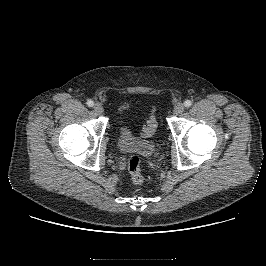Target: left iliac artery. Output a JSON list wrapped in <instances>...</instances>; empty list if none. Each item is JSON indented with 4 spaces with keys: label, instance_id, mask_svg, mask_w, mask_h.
<instances>
[{
    "label": "left iliac artery",
    "instance_id": "obj_1",
    "mask_svg": "<svg viewBox=\"0 0 266 266\" xmlns=\"http://www.w3.org/2000/svg\"><path fill=\"white\" fill-rule=\"evenodd\" d=\"M191 105H192V101H191V100H186V101L184 102V106H185L186 108L191 107Z\"/></svg>",
    "mask_w": 266,
    "mask_h": 266
}]
</instances>
